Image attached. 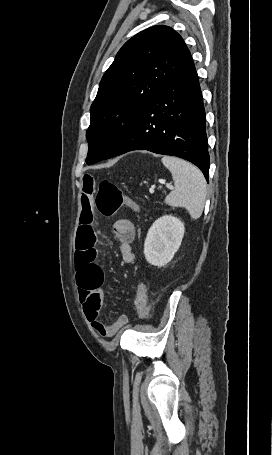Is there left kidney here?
Returning a JSON list of instances; mask_svg holds the SVG:
<instances>
[{"label": "left kidney", "mask_w": 272, "mask_h": 455, "mask_svg": "<svg viewBox=\"0 0 272 455\" xmlns=\"http://www.w3.org/2000/svg\"><path fill=\"white\" fill-rule=\"evenodd\" d=\"M184 232V223L178 218L172 215L158 218L150 227L144 243L147 262L158 267L169 263L181 245Z\"/></svg>", "instance_id": "5707ae66"}]
</instances>
